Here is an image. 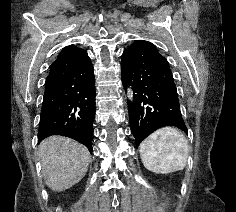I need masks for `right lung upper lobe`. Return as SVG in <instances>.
<instances>
[{
    "label": "right lung upper lobe",
    "instance_id": "right-lung-upper-lobe-1",
    "mask_svg": "<svg viewBox=\"0 0 236 212\" xmlns=\"http://www.w3.org/2000/svg\"><path fill=\"white\" fill-rule=\"evenodd\" d=\"M73 48H75V46H73V45H70V46H68V47H65V48L61 51V53H60L59 55L64 54V53H66V52L72 50Z\"/></svg>",
    "mask_w": 236,
    "mask_h": 212
}]
</instances>
